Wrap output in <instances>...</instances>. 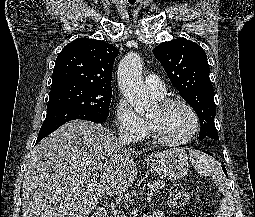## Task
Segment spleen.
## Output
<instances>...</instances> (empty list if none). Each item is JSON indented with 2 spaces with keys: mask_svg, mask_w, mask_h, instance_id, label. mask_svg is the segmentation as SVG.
Listing matches in <instances>:
<instances>
[{
  "mask_svg": "<svg viewBox=\"0 0 255 217\" xmlns=\"http://www.w3.org/2000/svg\"><path fill=\"white\" fill-rule=\"evenodd\" d=\"M193 167L201 174L210 175L216 181L223 179L220 167L205 155L198 154L192 158Z\"/></svg>",
  "mask_w": 255,
  "mask_h": 217,
  "instance_id": "spleen-1",
  "label": "spleen"
}]
</instances>
